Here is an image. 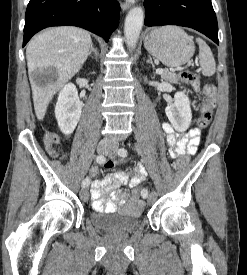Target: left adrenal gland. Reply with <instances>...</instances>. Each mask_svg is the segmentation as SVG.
<instances>
[{
    "label": "left adrenal gland",
    "mask_w": 247,
    "mask_h": 275,
    "mask_svg": "<svg viewBox=\"0 0 247 275\" xmlns=\"http://www.w3.org/2000/svg\"><path fill=\"white\" fill-rule=\"evenodd\" d=\"M147 63L151 64L152 68L155 69V65H154L152 58L150 56H149V59L147 60Z\"/></svg>",
    "instance_id": "obj_1"
}]
</instances>
